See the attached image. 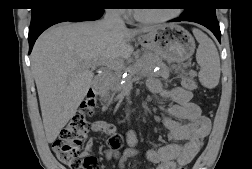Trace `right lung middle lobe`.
Here are the masks:
<instances>
[{"mask_svg":"<svg viewBox=\"0 0 252 169\" xmlns=\"http://www.w3.org/2000/svg\"><path fill=\"white\" fill-rule=\"evenodd\" d=\"M106 0H83V2L90 3V4H97V5H103L105 4ZM44 0H37V4L44 3Z\"/></svg>","mask_w":252,"mask_h":169,"instance_id":"right-lung-middle-lobe-1","label":"right lung middle lobe"}]
</instances>
